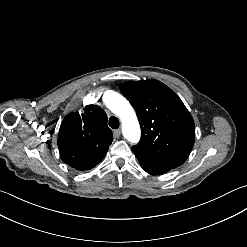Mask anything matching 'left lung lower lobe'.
<instances>
[{"mask_svg":"<svg viewBox=\"0 0 247 247\" xmlns=\"http://www.w3.org/2000/svg\"><path fill=\"white\" fill-rule=\"evenodd\" d=\"M132 151L137 157L141 167L151 175H161L173 169L168 165H165L163 163L151 159L145 154L136 152L134 149H132Z\"/></svg>","mask_w":247,"mask_h":247,"instance_id":"1","label":"left lung lower lobe"}]
</instances>
